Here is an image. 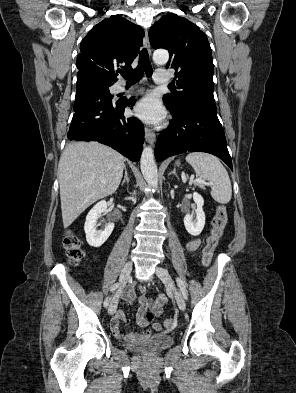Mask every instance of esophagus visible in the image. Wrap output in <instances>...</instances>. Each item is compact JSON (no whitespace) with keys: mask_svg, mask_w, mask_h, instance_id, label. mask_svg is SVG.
Wrapping results in <instances>:
<instances>
[{"mask_svg":"<svg viewBox=\"0 0 296 393\" xmlns=\"http://www.w3.org/2000/svg\"><path fill=\"white\" fill-rule=\"evenodd\" d=\"M144 46L148 50V52L151 54L148 30L145 31ZM155 138H156L155 132L151 128L146 127L145 128V140L148 143L153 144L155 141Z\"/></svg>","mask_w":296,"mask_h":393,"instance_id":"1","label":"esophagus"}]
</instances>
